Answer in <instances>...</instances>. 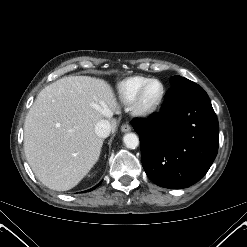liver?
<instances>
[{"mask_svg":"<svg viewBox=\"0 0 247 247\" xmlns=\"http://www.w3.org/2000/svg\"><path fill=\"white\" fill-rule=\"evenodd\" d=\"M118 112L113 89L102 79L68 76L46 86L24 124V151L36 177L53 190L75 187L99 159L103 139L96 124L107 119L114 131Z\"/></svg>","mask_w":247,"mask_h":247,"instance_id":"6515ba94","label":"liver"}]
</instances>
